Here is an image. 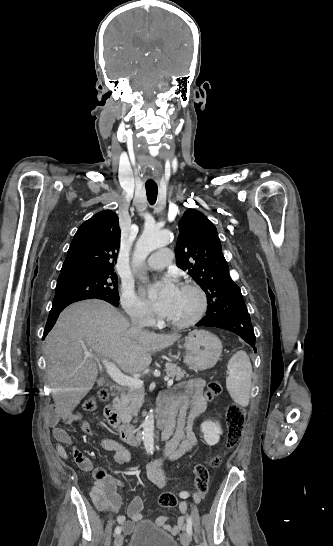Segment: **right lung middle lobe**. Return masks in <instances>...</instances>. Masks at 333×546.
<instances>
[{
    "instance_id": "obj_1",
    "label": "right lung middle lobe",
    "mask_w": 333,
    "mask_h": 546,
    "mask_svg": "<svg viewBox=\"0 0 333 546\" xmlns=\"http://www.w3.org/2000/svg\"><path fill=\"white\" fill-rule=\"evenodd\" d=\"M100 297L119 300L118 277L114 271L73 272L60 275L53 304Z\"/></svg>"
}]
</instances>
